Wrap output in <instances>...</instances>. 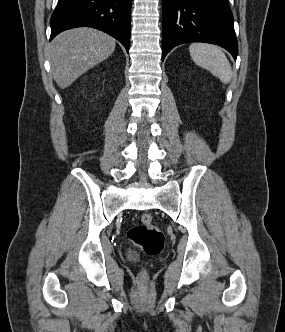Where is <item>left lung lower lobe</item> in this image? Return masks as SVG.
<instances>
[{
	"mask_svg": "<svg viewBox=\"0 0 285 332\" xmlns=\"http://www.w3.org/2000/svg\"><path fill=\"white\" fill-rule=\"evenodd\" d=\"M162 60L175 46L207 42L228 50L234 59L238 43L228 0H162Z\"/></svg>",
	"mask_w": 285,
	"mask_h": 332,
	"instance_id": "obj_1",
	"label": "left lung lower lobe"
}]
</instances>
